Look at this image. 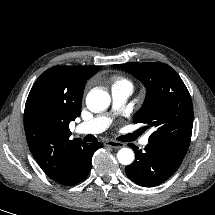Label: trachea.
<instances>
[{
	"label": "trachea",
	"instance_id": "trachea-1",
	"mask_svg": "<svg viewBox=\"0 0 215 215\" xmlns=\"http://www.w3.org/2000/svg\"><path fill=\"white\" fill-rule=\"evenodd\" d=\"M140 135V132L139 131H136L132 134H128V135H125V136H121L118 138V140L120 141H124V142H128V141H133L135 140L138 136ZM85 141L87 142H96L97 139L92 136V135H88L84 138Z\"/></svg>",
	"mask_w": 215,
	"mask_h": 215
}]
</instances>
